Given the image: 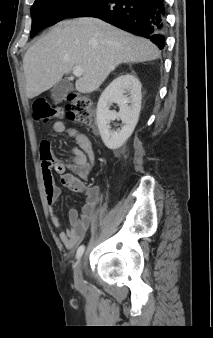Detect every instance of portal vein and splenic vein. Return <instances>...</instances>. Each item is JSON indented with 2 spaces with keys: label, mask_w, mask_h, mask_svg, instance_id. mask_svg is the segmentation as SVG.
I'll list each match as a JSON object with an SVG mask.
<instances>
[{
  "label": "portal vein and splenic vein",
  "mask_w": 213,
  "mask_h": 338,
  "mask_svg": "<svg viewBox=\"0 0 213 338\" xmlns=\"http://www.w3.org/2000/svg\"><path fill=\"white\" fill-rule=\"evenodd\" d=\"M73 74L77 77H80L83 74V70L81 67L76 66L73 68Z\"/></svg>",
  "instance_id": "obj_1"
}]
</instances>
